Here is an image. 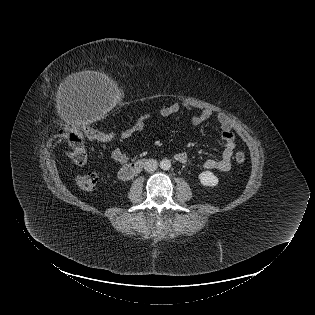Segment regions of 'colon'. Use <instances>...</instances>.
<instances>
[{"label":"colon","instance_id":"5ec220e1","mask_svg":"<svg viewBox=\"0 0 315 315\" xmlns=\"http://www.w3.org/2000/svg\"><path fill=\"white\" fill-rule=\"evenodd\" d=\"M111 135L98 131L93 128H78L68 134V155L70 159L78 166H84L88 161V153L85 146L86 139H92L102 142L111 140ZM235 161L242 164L245 161V154L238 151L235 154ZM98 177L95 173L89 172L80 175L76 179V184L85 193H92L96 190Z\"/></svg>","mask_w":315,"mask_h":315}]
</instances>
